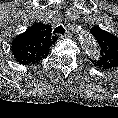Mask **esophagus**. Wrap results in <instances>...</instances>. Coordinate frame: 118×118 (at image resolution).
<instances>
[{
	"label": "esophagus",
	"mask_w": 118,
	"mask_h": 118,
	"mask_svg": "<svg viewBox=\"0 0 118 118\" xmlns=\"http://www.w3.org/2000/svg\"><path fill=\"white\" fill-rule=\"evenodd\" d=\"M72 34L70 32H67L65 35H59L60 38L63 37H70Z\"/></svg>",
	"instance_id": "esophagus-1"
}]
</instances>
